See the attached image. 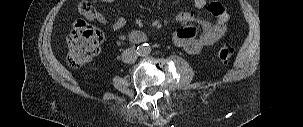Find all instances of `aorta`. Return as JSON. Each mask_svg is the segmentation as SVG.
<instances>
[{"mask_svg":"<svg viewBox=\"0 0 303 127\" xmlns=\"http://www.w3.org/2000/svg\"><path fill=\"white\" fill-rule=\"evenodd\" d=\"M150 46L148 44H143L139 47L138 52L140 55L145 56L150 53Z\"/></svg>","mask_w":303,"mask_h":127,"instance_id":"762f6f07","label":"aorta"}]
</instances>
